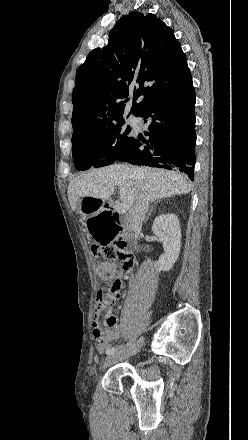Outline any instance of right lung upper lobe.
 <instances>
[{"label":"right lung upper lobe","instance_id":"cb5924a9","mask_svg":"<svg viewBox=\"0 0 248 440\" xmlns=\"http://www.w3.org/2000/svg\"><path fill=\"white\" fill-rule=\"evenodd\" d=\"M192 79L174 32L153 14L131 12L110 31L107 46L91 51L78 68L72 94L73 135L122 122L125 103L131 112L148 100L176 90Z\"/></svg>","mask_w":248,"mask_h":440}]
</instances>
